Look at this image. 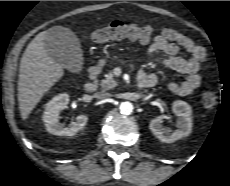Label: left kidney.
I'll list each match as a JSON object with an SVG mask.
<instances>
[{"label":"left kidney","instance_id":"5707ae66","mask_svg":"<svg viewBox=\"0 0 230 186\" xmlns=\"http://www.w3.org/2000/svg\"><path fill=\"white\" fill-rule=\"evenodd\" d=\"M172 110L178 117L176 130L171 132L163 126L164 119H169L166 115H160L151 120L149 128L152 133L162 142L173 143L183 137L188 136L192 130V109L186 102L177 100L172 104Z\"/></svg>","mask_w":230,"mask_h":186}]
</instances>
